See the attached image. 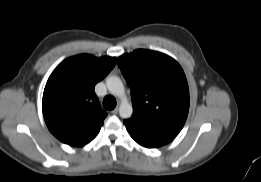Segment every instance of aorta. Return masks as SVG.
<instances>
[{
  "label": "aorta",
  "instance_id": "aorta-1",
  "mask_svg": "<svg viewBox=\"0 0 261 182\" xmlns=\"http://www.w3.org/2000/svg\"><path fill=\"white\" fill-rule=\"evenodd\" d=\"M106 85L109 92L121 100L119 106L120 116L124 119L131 117L133 107L126 97L125 87L122 80L117 76H109L106 80Z\"/></svg>",
  "mask_w": 261,
  "mask_h": 182
}]
</instances>
